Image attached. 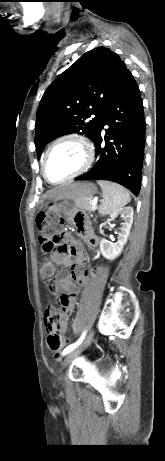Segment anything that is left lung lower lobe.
<instances>
[{"label": "left lung lower lobe", "mask_w": 165, "mask_h": 461, "mask_svg": "<svg viewBox=\"0 0 165 461\" xmlns=\"http://www.w3.org/2000/svg\"><path fill=\"white\" fill-rule=\"evenodd\" d=\"M104 125L106 134L102 136ZM105 146L101 147L102 141ZM111 140V141H110ZM93 142L95 165L76 180H109L137 195L140 191L145 147V119L139 87L129 70L110 100Z\"/></svg>", "instance_id": "left-lung-lower-lobe-1"}]
</instances>
